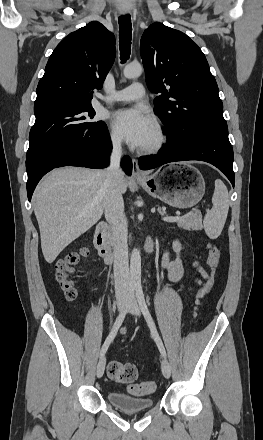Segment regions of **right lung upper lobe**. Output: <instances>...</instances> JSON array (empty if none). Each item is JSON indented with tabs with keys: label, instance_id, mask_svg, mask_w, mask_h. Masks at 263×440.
Returning a JSON list of instances; mask_svg holds the SVG:
<instances>
[{
	"label": "right lung upper lobe",
	"instance_id": "obj_1",
	"mask_svg": "<svg viewBox=\"0 0 263 440\" xmlns=\"http://www.w3.org/2000/svg\"><path fill=\"white\" fill-rule=\"evenodd\" d=\"M115 55L114 35L97 21L70 33L48 60L34 108L91 104L93 90L102 87Z\"/></svg>",
	"mask_w": 263,
	"mask_h": 440
}]
</instances>
